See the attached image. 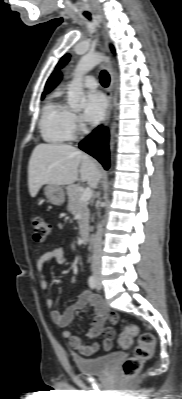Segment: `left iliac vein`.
I'll return each mask as SVG.
<instances>
[{"label":"left iliac vein","instance_id":"4c4485c4","mask_svg":"<svg viewBox=\"0 0 182 399\" xmlns=\"http://www.w3.org/2000/svg\"><path fill=\"white\" fill-rule=\"evenodd\" d=\"M97 288H98V289H101V283H100V278H99V277H98Z\"/></svg>","mask_w":182,"mask_h":399}]
</instances>
